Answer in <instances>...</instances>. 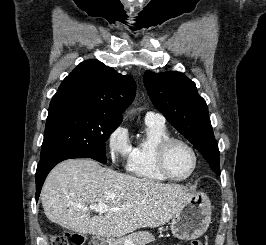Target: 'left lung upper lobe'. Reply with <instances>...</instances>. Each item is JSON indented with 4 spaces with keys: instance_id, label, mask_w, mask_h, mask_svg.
Here are the masks:
<instances>
[{
    "instance_id": "1",
    "label": "left lung upper lobe",
    "mask_w": 266,
    "mask_h": 245,
    "mask_svg": "<svg viewBox=\"0 0 266 245\" xmlns=\"http://www.w3.org/2000/svg\"><path fill=\"white\" fill-rule=\"evenodd\" d=\"M144 84L154 106L199 150L219 175L218 144L206 102L199 96L195 83L179 72L146 71Z\"/></svg>"
}]
</instances>
